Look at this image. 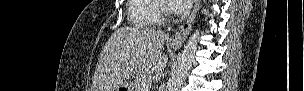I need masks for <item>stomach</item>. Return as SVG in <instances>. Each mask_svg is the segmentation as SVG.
<instances>
[{
    "instance_id": "0dacf381",
    "label": "stomach",
    "mask_w": 304,
    "mask_h": 91,
    "mask_svg": "<svg viewBox=\"0 0 304 91\" xmlns=\"http://www.w3.org/2000/svg\"><path fill=\"white\" fill-rule=\"evenodd\" d=\"M117 91H134V88L130 84L125 83V84L121 85L117 89Z\"/></svg>"
}]
</instances>
